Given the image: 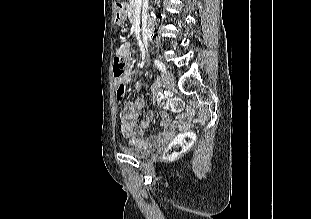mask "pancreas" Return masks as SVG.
I'll use <instances>...</instances> for the list:
<instances>
[{
	"label": "pancreas",
	"mask_w": 311,
	"mask_h": 219,
	"mask_svg": "<svg viewBox=\"0 0 311 219\" xmlns=\"http://www.w3.org/2000/svg\"><path fill=\"white\" fill-rule=\"evenodd\" d=\"M135 1L134 0H129V5H128V16L131 21L134 20V15H135Z\"/></svg>",
	"instance_id": "cf45deb5"
}]
</instances>
